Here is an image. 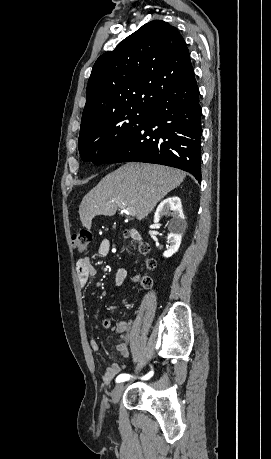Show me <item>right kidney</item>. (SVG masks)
Here are the masks:
<instances>
[{"label":"right kidney","instance_id":"obj_1","mask_svg":"<svg viewBox=\"0 0 271 459\" xmlns=\"http://www.w3.org/2000/svg\"><path fill=\"white\" fill-rule=\"evenodd\" d=\"M162 216H172V220H170L168 226L170 233H168L167 237L170 245L163 253L165 257H170L175 251H178L182 233H184L187 228L186 220L182 212L181 200L178 196L167 198V200H163V202L159 204L154 216L155 226H158V222Z\"/></svg>","mask_w":271,"mask_h":459}]
</instances>
